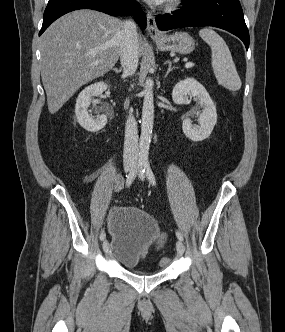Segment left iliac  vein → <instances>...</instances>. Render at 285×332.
I'll return each instance as SVG.
<instances>
[{
    "instance_id": "4c4485c4",
    "label": "left iliac vein",
    "mask_w": 285,
    "mask_h": 332,
    "mask_svg": "<svg viewBox=\"0 0 285 332\" xmlns=\"http://www.w3.org/2000/svg\"><path fill=\"white\" fill-rule=\"evenodd\" d=\"M139 178L143 180L145 178L144 173L140 170L138 174ZM176 250L178 255H182L185 251V246L182 241L178 240L176 243Z\"/></svg>"
}]
</instances>
